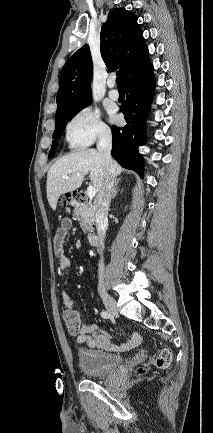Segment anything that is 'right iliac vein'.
Wrapping results in <instances>:
<instances>
[{"instance_id": "obj_1", "label": "right iliac vein", "mask_w": 213, "mask_h": 433, "mask_svg": "<svg viewBox=\"0 0 213 433\" xmlns=\"http://www.w3.org/2000/svg\"><path fill=\"white\" fill-rule=\"evenodd\" d=\"M102 299H103L104 305L107 308V310L111 314L117 315L118 314V309H117V304H116L115 299L112 296L108 295V294H104L102 296Z\"/></svg>"}]
</instances>
